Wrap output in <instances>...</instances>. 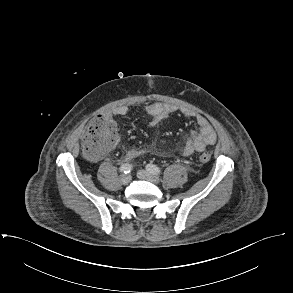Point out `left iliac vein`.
Instances as JSON below:
<instances>
[{"label":"left iliac vein","instance_id":"obj_1","mask_svg":"<svg viewBox=\"0 0 293 293\" xmlns=\"http://www.w3.org/2000/svg\"><path fill=\"white\" fill-rule=\"evenodd\" d=\"M137 176H138V178H140L142 180H146V181H149L154 184H158L160 182V179L156 175H154L146 170H139L137 172Z\"/></svg>","mask_w":293,"mask_h":293}]
</instances>
